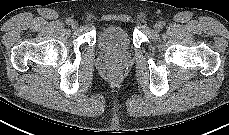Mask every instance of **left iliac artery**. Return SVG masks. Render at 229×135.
Listing matches in <instances>:
<instances>
[{
	"label": "left iliac artery",
	"instance_id": "44dca946",
	"mask_svg": "<svg viewBox=\"0 0 229 135\" xmlns=\"http://www.w3.org/2000/svg\"><path fill=\"white\" fill-rule=\"evenodd\" d=\"M160 25H161V27H164L165 26V22L164 21L160 22Z\"/></svg>",
	"mask_w": 229,
	"mask_h": 135
}]
</instances>
